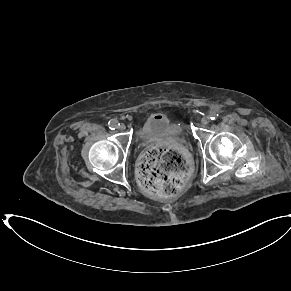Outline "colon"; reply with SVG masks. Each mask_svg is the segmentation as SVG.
I'll return each mask as SVG.
<instances>
[{
    "label": "colon",
    "mask_w": 291,
    "mask_h": 291,
    "mask_svg": "<svg viewBox=\"0 0 291 291\" xmlns=\"http://www.w3.org/2000/svg\"><path fill=\"white\" fill-rule=\"evenodd\" d=\"M190 164L172 146H153L144 153L139 166L142 188L156 197H169L182 190L188 180Z\"/></svg>",
    "instance_id": "colon-1"
}]
</instances>
